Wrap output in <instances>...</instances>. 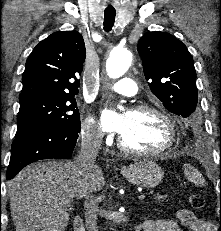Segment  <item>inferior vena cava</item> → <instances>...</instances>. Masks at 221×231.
Returning a JSON list of instances; mask_svg holds the SVG:
<instances>
[{
    "label": "inferior vena cava",
    "mask_w": 221,
    "mask_h": 231,
    "mask_svg": "<svg viewBox=\"0 0 221 231\" xmlns=\"http://www.w3.org/2000/svg\"><path fill=\"white\" fill-rule=\"evenodd\" d=\"M102 143V136L94 131H87L83 137L81 150L75 162L83 169L88 170L94 166L98 150ZM85 226L87 231H99L97 225L98 206L92 192L85 197Z\"/></svg>",
    "instance_id": "obj_1"
}]
</instances>
